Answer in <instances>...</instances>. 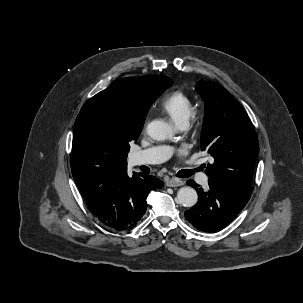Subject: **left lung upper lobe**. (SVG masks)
Here are the masks:
<instances>
[{"instance_id":"1","label":"left lung upper lobe","mask_w":303,"mask_h":303,"mask_svg":"<svg viewBox=\"0 0 303 303\" xmlns=\"http://www.w3.org/2000/svg\"><path fill=\"white\" fill-rule=\"evenodd\" d=\"M197 91L205 101L201 149L214 162L205 170L209 178L250 198L258 139L244 109L220 84L201 80Z\"/></svg>"}]
</instances>
